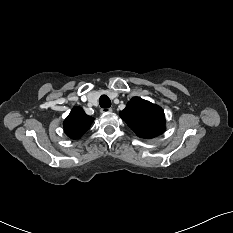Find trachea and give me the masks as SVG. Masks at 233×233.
<instances>
[{"instance_id": "obj_1", "label": "trachea", "mask_w": 233, "mask_h": 233, "mask_svg": "<svg viewBox=\"0 0 233 233\" xmlns=\"http://www.w3.org/2000/svg\"><path fill=\"white\" fill-rule=\"evenodd\" d=\"M100 107L109 108L111 106V100L107 95H102L99 99Z\"/></svg>"}]
</instances>
